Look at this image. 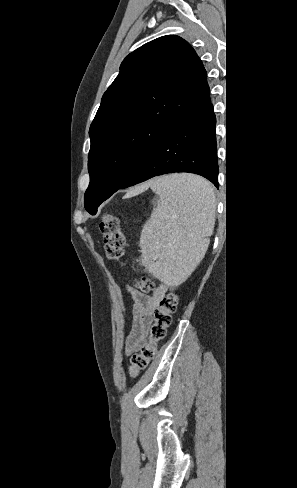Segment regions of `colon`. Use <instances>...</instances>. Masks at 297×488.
I'll use <instances>...</instances> for the list:
<instances>
[{
    "instance_id": "5ec220e1",
    "label": "colon",
    "mask_w": 297,
    "mask_h": 488,
    "mask_svg": "<svg viewBox=\"0 0 297 488\" xmlns=\"http://www.w3.org/2000/svg\"><path fill=\"white\" fill-rule=\"evenodd\" d=\"M99 227L104 237L107 258L112 261H120L124 256L125 247L120 218L107 213L101 218ZM137 287L142 292H148L154 289L155 284L150 278L143 277L138 281ZM178 303L179 295L176 293H169L160 298L152 315L148 341L131 358L129 367L131 377H135L145 370L156 356L158 343L166 336L167 329L172 322V314L176 311Z\"/></svg>"
}]
</instances>
